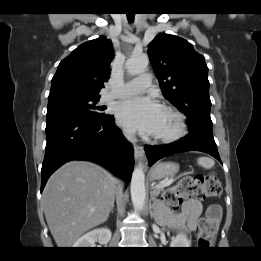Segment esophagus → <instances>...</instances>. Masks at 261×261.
Listing matches in <instances>:
<instances>
[{
  "instance_id": "esophagus-1",
  "label": "esophagus",
  "mask_w": 261,
  "mask_h": 261,
  "mask_svg": "<svg viewBox=\"0 0 261 261\" xmlns=\"http://www.w3.org/2000/svg\"><path fill=\"white\" fill-rule=\"evenodd\" d=\"M134 156L137 161L142 162L143 164H146V156L144 148L140 145L134 146Z\"/></svg>"
}]
</instances>
